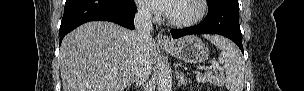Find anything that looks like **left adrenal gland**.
Segmentation results:
<instances>
[{
	"mask_svg": "<svg viewBox=\"0 0 304 91\" xmlns=\"http://www.w3.org/2000/svg\"><path fill=\"white\" fill-rule=\"evenodd\" d=\"M177 80H178V86H182L190 83L187 79H185V75L182 72L177 75Z\"/></svg>",
	"mask_w": 304,
	"mask_h": 91,
	"instance_id": "1",
	"label": "left adrenal gland"
}]
</instances>
